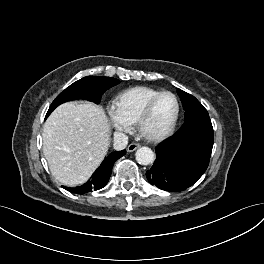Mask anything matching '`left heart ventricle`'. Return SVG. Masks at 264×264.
Segmentation results:
<instances>
[{"mask_svg":"<svg viewBox=\"0 0 264 264\" xmlns=\"http://www.w3.org/2000/svg\"><path fill=\"white\" fill-rule=\"evenodd\" d=\"M176 111L175 100L170 95L162 96L155 104L144 130L148 134H158L171 123Z\"/></svg>","mask_w":264,"mask_h":264,"instance_id":"left-heart-ventricle-1","label":"left heart ventricle"}]
</instances>
